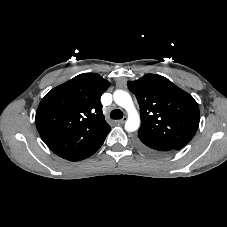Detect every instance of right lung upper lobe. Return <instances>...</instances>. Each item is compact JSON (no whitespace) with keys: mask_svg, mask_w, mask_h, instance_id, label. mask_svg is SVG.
Wrapping results in <instances>:
<instances>
[{"mask_svg":"<svg viewBox=\"0 0 227 227\" xmlns=\"http://www.w3.org/2000/svg\"><path fill=\"white\" fill-rule=\"evenodd\" d=\"M110 83L83 73L53 88L36 111L37 130L51 151L70 160L104 142L110 131L100 102Z\"/></svg>","mask_w":227,"mask_h":227,"instance_id":"1","label":"right lung upper lobe"}]
</instances>
